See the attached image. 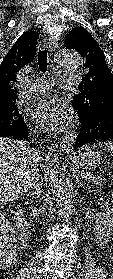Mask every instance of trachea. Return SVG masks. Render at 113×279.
<instances>
[{"label":"trachea","instance_id":"1","mask_svg":"<svg viewBox=\"0 0 113 279\" xmlns=\"http://www.w3.org/2000/svg\"><path fill=\"white\" fill-rule=\"evenodd\" d=\"M38 65L41 72H46L47 70V49L38 52Z\"/></svg>","mask_w":113,"mask_h":279}]
</instances>
